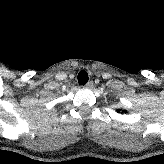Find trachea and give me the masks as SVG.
<instances>
[{
    "label": "trachea",
    "mask_w": 164,
    "mask_h": 164,
    "mask_svg": "<svg viewBox=\"0 0 164 164\" xmlns=\"http://www.w3.org/2000/svg\"><path fill=\"white\" fill-rule=\"evenodd\" d=\"M88 74L85 70H82L78 73V83L80 85H85L88 82Z\"/></svg>",
    "instance_id": "trachea-1"
}]
</instances>
